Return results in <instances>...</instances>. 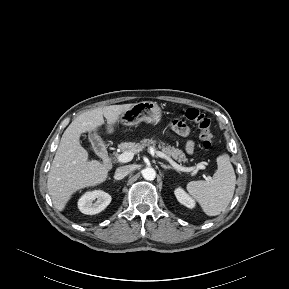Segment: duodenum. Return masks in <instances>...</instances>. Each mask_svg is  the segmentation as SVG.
Here are the masks:
<instances>
[{
	"instance_id": "410a0bca",
	"label": "duodenum",
	"mask_w": 289,
	"mask_h": 289,
	"mask_svg": "<svg viewBox=\"0 0 289 289\" xmlns=\"http://www.w3.org/2000/svg\"><path fill=\"white\" fill-rule=\"evenodd\" d=\"M98 152H99L100 157L102 158L103 166L106 169L110 168L111 160H110V155H109L108 151L106 150V148L103 146H99Z\"/></svg>"
}]
</instances>
